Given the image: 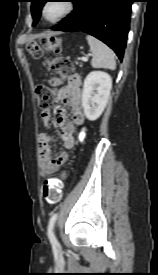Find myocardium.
Returning a JSON list of instances; mask_svg holds the SVG:
<instances>
[{
  "label": "myocardium",
  "instance_id": "f54148a6",
  "mask_svg": "<svg viewBox=\"0 0 158 275\" xmlns=\"http://www.w3.org/2000/svg\"><path fill=\"white\" fill-rule=\"evenodd\" d=\"M52 1H47L43 4L42 8H41V15H42V18L49 22V23H57L59 22L60 20H62L63 18L67 17L69 14H71L75 8V4L73 3V1L71 0H64L63 3L65 5V9L64 11L56 18L54 19H48L46 17V14H45V10H46V7L48 6L49 3H51Z\"/></svg>",
  "mask_w": 158,
  "mask_h": 275
}]
</instances>
